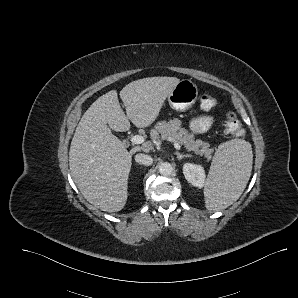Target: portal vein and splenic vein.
Listing matches in <instances>:
<instances>
[{
    "instance_id": "portal-vein-and-splenic-vein-1",
    "label": "portal vein and splenic vein",
    "mask_w": 298,
    "mask_h": 298,
    "mask_svg": "<svg viewBox=\"0 0 298 298\" xmlns=\"http://www.w3.org/2000/svg\"><path fill=\"white\" fill-rule=\"evenodd\" d=\"M168 140L172 142V145L175 149H179L180 146H179V143L175 140H173L171 137H168ZM147 141V138L143 135H135L132 137V142L134 144H143V143H146Z\"/></svg>"
}]
</instances>
